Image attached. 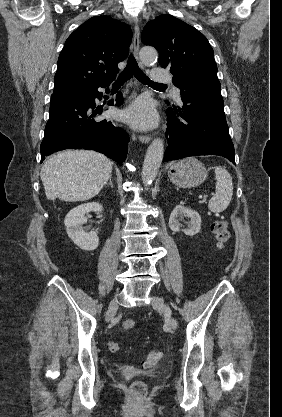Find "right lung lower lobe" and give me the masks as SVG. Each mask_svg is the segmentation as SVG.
I'll use <instances>...</instances> for the list:
<instances>
[{"label":"right lung lower lobe","instance_id":"1","mask_svg":"<svg viewBox=\"0 0 282 417\" xmlns=\"http://www.w3.org/2000/svg\"><path fill=\"white\" fill-rule=\"evenodd\" d=\"M68 92L51 99L49 120L41 143V162L45 156L64 149H92L117 161L120 165L127 156L128 134L113 122L98 119L102 110L96 108L95 98L101 99L98 87ZM122 95L116 97V106L121 105ZM109 105H114L113 101Z\"/></svg>","mask_w":282,"mask_h":417}]
</instances>
